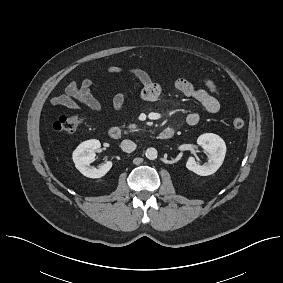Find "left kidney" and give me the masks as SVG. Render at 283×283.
<instances>
[{"mask_svg":"<svg viewBox=\"0 0 283 283\" xmlns=\"http://www.w3.org/2000/svg\"><path fill=\"white\" fill-rule=\"evenodd\" d=\"M197 144L205 152L209 153V160L205 164L200 165L195 161L194 157H189L186 162L187 169L200 176H208L215 173L225 158L226 144L224 140L216 134L205 133L198 137Z\"/></svg>","mask_w":283,"mask_h":283,"instance_id":"5707ae66","label":"left kidney"}]
</instances>
